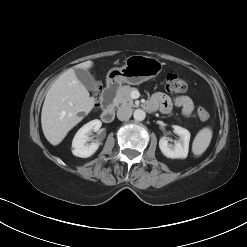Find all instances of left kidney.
<instances>
[{"mask_svg": "<svg viewBox=\"0 0 247 247\" xmlns=\"http://www.w3.org/2000/svg\"><path fill=\"white\" fill-rule=\"evenodd\" d=\"M174 133L179 135V140L174 144H168L166 137H162L159 141V148L167 158L185 159L189 151L190 132L180 126H174Z\"/></svg>", "mask_w": 247, "mask_h": 247, "instance_id": "left-kidney-1", "label": "left kidney"}]
</instances>
